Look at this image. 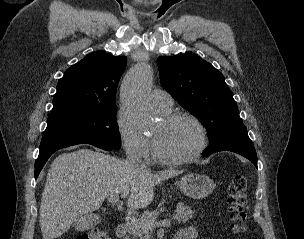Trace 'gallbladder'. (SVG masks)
I'll list each match as a JSON object with an SVG mask.
<instances>
[{
  "label": "gallbladder",
  "instance_id": "1",
  "mask_svg": "<svg viewBox=\"0 0 304 239\" xmlns=\"http://www.w3.org/2000/svg\"><path fill=\"white\" fill-rule=\"evenodd\" d=\"M95 225V215L93 214L78 217L73 223V227L77 231H86L93 228Z\"/></svg>",
  "mask_w": 304,
  "mask_h": 239
}]
</instances>
